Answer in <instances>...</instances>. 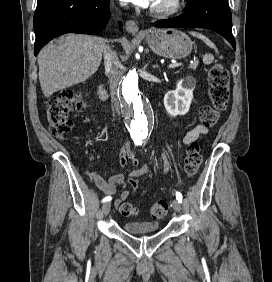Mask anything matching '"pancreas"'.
<instances>
[{
  "mask_svg": "<svg viewBox=\"0 0 272 282\" xmlns=\"http://www.w3.org/2000/svg\"><path fill=\"white\" fill-rule=\"evenodd\" d=\"M199 62L195 61L194 63L190 64L189 68L195 70L198 66Z\"/></svg>",
  "mask_w": 272,
  "mask_h": 282,
  "instance_id": "1",
  "label": "pancreas"
}]
</instances>
